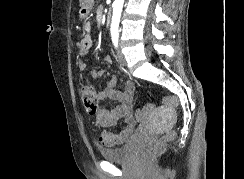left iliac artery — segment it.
I'll list each match as a JSON object with an SVG mask.
<instances>
[{"instance_id":"obj_1","label":"left iliac artery","mask_w":244,"mask_h":179,"mask_svg":"<svg viewBox=\"0 0 244 179\" xmlns=\"http://www.w3.org/2000/svg\"><path fill=\"white\" fill-rule=\"evenodd\" d=\"M111 37H112V42H113L114 46L118 47L119 32L112 30Z\"/></svg>"}]
</instances>
